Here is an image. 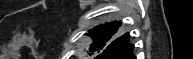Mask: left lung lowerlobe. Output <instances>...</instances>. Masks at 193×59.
<instances>
[{
	"label": "left lung lower lobe",
	"mask_w": 193,
	"mask_h": 59,
	"mask_svg": "<svg viewBox=\"0 0 193 59\" xmlns=\"http://www.w3.org/2000/svg\"><path fill=\"white\" fill-rule=\"evenodd\" d=\"M129 33L121 36L111 47L106 48L97 59H136L133 54V45L128 43Z\"/></svg>",
	"instance_id": "left-lung-lower-lobe-1"
}]
</instances>
